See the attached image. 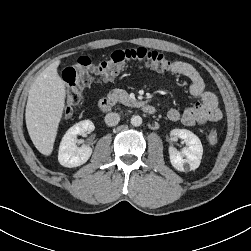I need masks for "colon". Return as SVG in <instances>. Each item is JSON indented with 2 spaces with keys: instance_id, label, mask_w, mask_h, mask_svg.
Instances as JSON below:
<instances>
[{
  "instance_id": "obj_1",
  "label": "colon",
  "mask_w": 251,
  "mask_h": 251,
  "mask_svg": "<svg viewBox=\"0 0 251 251\" xmlns=\"http://www.w3.org/2000/svg\"><path fill=\"white\" fill-rule=\"evenodd\" d=\"M140 64L149 69L164 72L172 70L174 63L163 53L146 48L120 49L99 63H94L88 57H80L76 64L63 71L65 83L64 117H69L74 108L81 101L85 88L98 81H108L120 73L130 64ZM209 142L214 145L219 135L212 130L208 136Z\"/></svg>"
}]
</instances>
